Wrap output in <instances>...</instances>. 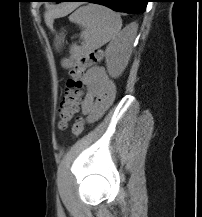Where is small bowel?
<instances>
[{"mask_svg":"<svg viewBox=\"0 0 202 217\" xmlns=\"http://www.w3.org/2000/svg\"><path fill=\"white\" fill-rule=\"evenodd\" d=\"M82 84V111L89 114L90 121H95L114 100L116 85L101 66L88 69L82 77Z\"/></svg>","mask_w":202,"mask_h":217,"instance_id":"obj_1","label":"small bowel"}]
</instances>
